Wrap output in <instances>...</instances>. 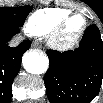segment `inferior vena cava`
<instances>
[{"label":"inferior vena cava","mask_w":103,"mask_h":103,"mask_svg":"<svg viewBox=\"0 0 103 103\" xmlns=\"http://www.w3.org/2000/svg\"><path fill=\"white\" fill-rule=\"evenodd\" d=\"M22 38L21 37H16L15 39H13L11 42H10V46L11 47H15V46H18V44L21 42Z\"/></svg>","instance_id":"obj_1"}]
</instances>
